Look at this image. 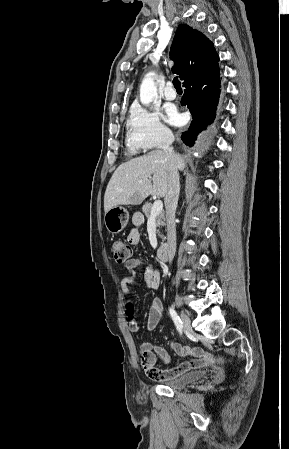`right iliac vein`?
<instances>
[{"instance_id": "1", "label": "right iliac vein", "mask_w": 289, "mask_h": 449, "mask_svg": "<svg viewBox=\"0 0 289 449\" xmlns=\"http://www.w3.org/2000/svg\"><path fill=\"white\" fill-rule=\"evenodd\" d=\"M181 318H182V323H183V327H184L185 331L187 333H192L191 321H190L189 317L187 316V314L183 311L181 312Z\"/></svg>"}]
</instances>
